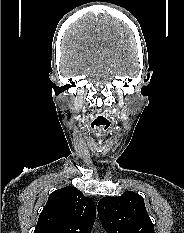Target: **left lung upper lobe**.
Returning a JSON list of instances; mask_svg holds the SVG:
<instances>
[{
	"label": "left lung upper lobe",
	"instance_id": "obj_1",
	"mask_svg": "<svg viewBox=\"0 0 184 233\" xmlns=\"http://www.w3.org/2000/svg\"><path fill=\"white\" fill-rule=\"evenodd\" d=\"M98 216L107 233H155L143 197L132 191L102 198Z\"/></svg>",
	"mask_w": 184,
	"mask_h": 233
}]
</instances>
